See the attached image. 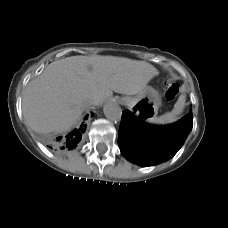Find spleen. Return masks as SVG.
<instances>
[{
  "instance_id": "3e777b00",
  "label": "spleen",
  "mask_w": 228,
  "mask_h": 228,
  "mask_svg": "<svg viewBox=\"0 0 228 228\" xmlns=\"http://www.w3.org/2000/svg\"><path fill=\"white\" fill-rule=\"evenodd\" d=\"M184 102L185 96L180 95L171 112H167L159 117H155L151 121L156 124H168L174 122L177 119V115L183 110Z\"/></svg>"
}]
</instances>
